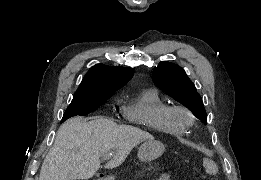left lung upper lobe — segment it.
<instances>
[{
  "label": "left lung upper lobe",
  "mask_w": 261,
  "mask_h": 180,
  "mask_svg": "<svg viewBox=\"0 0 261 180\" xmlns=\"http://www.w3.org/2000/svg\"><path fill=\"white\" fill-rule=\"evenodd\" d=\"M155 84L187 107L198 119L207 120L202 99L185 71L178 65L163 61L153 69Z\"/></svg>",
  "instance_id": "5c2ea615"
}]
</instances>
